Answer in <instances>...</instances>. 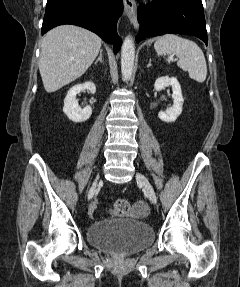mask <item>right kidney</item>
Returning a JSON list of instances; mask_svg holds the SVG:
<instances>
[{
  "label": "right kidney",
  "mask_w": 240,
  "mask_h": 287,
  "mask_svg": "<svg viewBox=\"0 0 240 287\" xmlns=\"http://www.w3.org/2000/svg\"><path fill=\"white\" fill-rule=\"evenodd\" d=\"M84 90H89L90 93L95 94L96 86L93 82H85L83 84H77L70 88L67 96L64 99L63 112L73 122H84L88 120L92 115V108L86 106L83 109L79 106L76 99L77 94Z\"/></svg>",
  "instance_id": "1"
}]
</instances>
